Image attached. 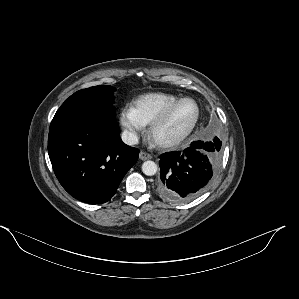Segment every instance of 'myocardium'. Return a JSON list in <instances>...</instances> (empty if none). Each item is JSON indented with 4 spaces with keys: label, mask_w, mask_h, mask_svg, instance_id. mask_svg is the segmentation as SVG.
<instances>
[{
    "label": "myocardium",
    "mask_w": 299,
    "mask_h": 299,
    "mask_svg": "<svg viewBox=\"0 0 299 299\" xmlns=\"http://www.w3.org/2000/svg\"><path fill=\"white\" fill-rule=\"evenodd\" d=\"M184 101H191L194 103V105L196 107V115H195L191 125L189 126V128L185 132H183L182 134H180L174 138L167 139V140L158 139L156 137L157 130L167 121V119L169 118L171 113L174 111V109ZM200 115H201L200 106L195 99H193L191 97L179 98L178 100H176L173 103H171L170 105H168L160 113V115L158 117H156L154 119V121L151 123L150 137L154 141V143L160 148L168 149V148L176 147V146L180 145L184 140H186L191 135V133L194 131V129L200 119Z\"/></svg>",
    "instance_id": "myocardium-1"
}]
</instances>
